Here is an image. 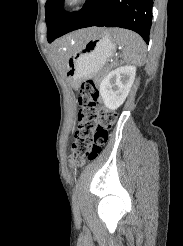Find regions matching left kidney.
<instances>
[{
	"instance_id": "1",
	"label": "left kidney",
	"mask_w": 183,
	"mask_h": 246,
	"mask_svg": "<svg viewBox=\"0 0 183 246\" xmlns=\"http://www.w3.org/2000/svg\"><path fill=\"white\" fill-rule=\"evenodd\" d=\"M136 76V67L126 65L109 72L100 83V96L104 105L110 110H116L125 101Z\"/></svg>"
}]
</instances>
